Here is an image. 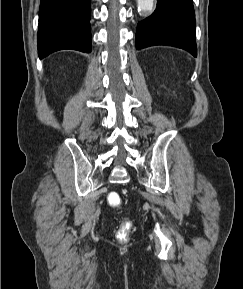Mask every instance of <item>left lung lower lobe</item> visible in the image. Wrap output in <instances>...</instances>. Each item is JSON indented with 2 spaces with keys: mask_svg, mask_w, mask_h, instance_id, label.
Listing matches in <instances>:
<instances>
[{
  "mask_svg": "<svg viewBox=\"0 0 243 289\" xmlns=\"http://www.w3.org/2000/svg\"><path fill=\"white\" fill-rule=\"evenodd\" d=\"M136 48L169 45L197 56L192 0H157L154 13L137 25Z\"/></svg>",
  "mask_w": 243,
  "mask_h": 289,
  "instance_id": "1",
  "label": "left lung lower lobe"
}]
</instances>
